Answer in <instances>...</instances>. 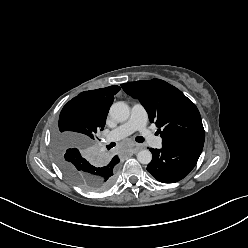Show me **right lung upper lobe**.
<instances>
[{
    "mask_svg": "<svg viewBox=\"0 0 248 248\" xmlns=\"http://www.w3.org/2000/svg\"><path fill=\"white\" fill-rule=\"evenodd\" d=\"M119 86H109L102 89L84 91L75 99H81L85 103V108L92 115L103 118L106 122V117L109 108L114 100V95L119 92ZM112 162H119L117 156H114Z\"/></svg>",
    "mask_w": 248,
    "mask_h": 248,
    "instance_id": "obj_1",
    "label": "right lung upper lobe"
}]
</instances>
